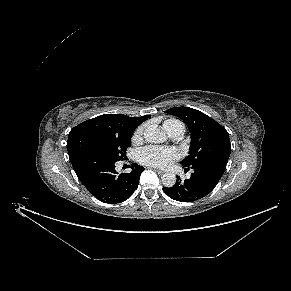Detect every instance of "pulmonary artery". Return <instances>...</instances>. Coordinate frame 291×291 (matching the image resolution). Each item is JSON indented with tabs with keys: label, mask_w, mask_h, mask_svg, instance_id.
Listing matches in <instances>:
<instances>
[{
	"label": "pulmonary artery",
	"mask_w": 291,
	"mask_h": 291,
	"mask_svg": "<svg viewBox=\"0 0 291 291\" xmlns=\"http://www.w3.org/2000/svg\"><path fill=\"white\" fill-rule=\"evenodd\" d=\"M184 126H175L173 127L168 134L173 138V139H179L182 137V135L184 134Z\"/></svg>",
	"instance_id": "1"
}]
</instances>
